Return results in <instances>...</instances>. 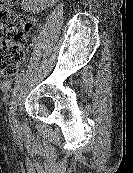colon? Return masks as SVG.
<instances>
[{
  "mask_svg": "<svg viewBox=\"0 0 133 173\" xmlns=\"http://www.w3.org/2000/svg\"><path fill=\"white\" fill-rule=\"evenodd\" d=\"M15 0H0V82L7 89L18 67L24 62L28 48L31 18L22 16L9 6Z\"/></svg>",
  "mask_w": 133,
  "mask_h": 173,
  "instance_id": "colon-1",
  "label": "colon"
}]
</instances>
